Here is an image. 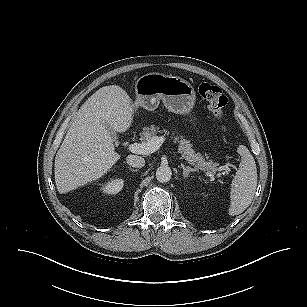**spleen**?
<instances>
[{"instance_id":"3e777b00","label":"spleen","mask_w":307,"mask_h":307,"mask_svg":"<svg viewBox=\"0 0 307 307\" xmlns=\"http://www.w3.org/2000/svg\"><path fill=\"white\" fill-rule=\"evenodd\" d=\"M241 162L231 183L229 215H239L251 204L257 187L256 163L248 148L240 145Z\"/></svg>"}]
</instances>
